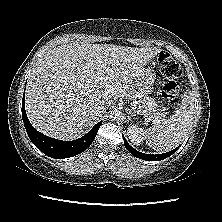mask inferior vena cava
I'll return each instance as SVG.
<instances>
[{
	"mask_svg": "<svg viewBox=\"0 0 222 222\" xmlns=\"http://www.w3.org/2000/svg\"><path fill=\"white\" fill-rule=\"evenodd\" d=\"M107 107L104 104L95 105L93 109H91L90 114L93 116L101 115L106 111Z\"/></svg>",
	"mask_w": 222,
	"mask_h": 222,
	"instance_id": "1",
	"label": "inferior vena cava"
}]
</instances>
